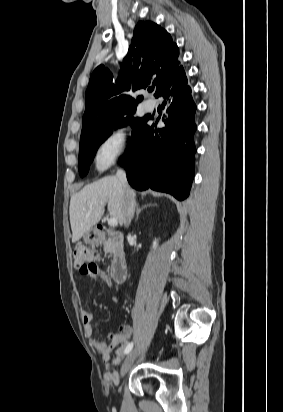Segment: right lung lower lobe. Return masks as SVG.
Masks as SVG:
<instances>
[{
  "label": "right lung lower lobe",
  "mask_w": 283,
  "mask_h": 412,
  "mask_svg": "<svg viewBox=\"0 0 283 412\" xmlns=\"http://www.w3.org/2000/svg\"><path fill=\"white\" fill-rule=\"evenodd\" d=\"M164 99V128L149 126L148 116L126 152L127 178L137 190H153L172 194L178 200L189 195L194 177V135L196 105L187 84L167 86L158 96Z\"/></svg>",
  "instance_id": "1"
}]
</instances>
